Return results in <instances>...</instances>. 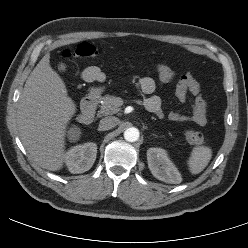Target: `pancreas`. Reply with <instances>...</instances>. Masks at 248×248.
I'll use <instances>...</instances> for the list:
<instances>
[{
	"label": "pancreas",
	"instance_id": "1",
	"mask_svg": "<svg viewBox=\"0 0 248 248\" xmlns=\"http://www.w3.org/2000/svg\"><path fill=\"white\" fill-rule=\"evenodd\" d=\"M102 105L98 111L100 115L115 114L120 110V104L117 102L118 98L111 95H105L102 97Z\"/></svg>",
	"mask_w": 248,
	"mask_h": 248
}]
</instances>
